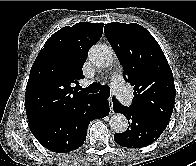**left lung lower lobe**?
I'll list each match as a JSON object with an SVG mask.
<instances>
[{
    "mask_svg": "<svg viewBox=\"0 0 196 166\" xmlns=\"http://www.w3.org/2000/svg\"><path fill=\"white\" fill-rule=\"evenodd\" d=\"M113 109L115 113L124 114L130 124L125 132L114 135L115 142L122 147L147 146L157 140L168 125L159 120L144 117L129 107L121 105L116 99H113Z\"/></svg>",
    "mask_w": 196,
    "mask_h": 166,
    "instance_id": "left-lung-lower-lobe-1",
    "label": "left lung lower lobe"
}]
</instances>
